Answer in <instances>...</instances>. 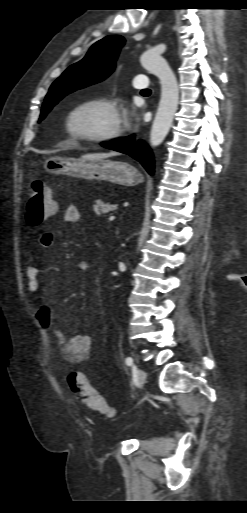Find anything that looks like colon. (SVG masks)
Masks as SVG:
<instances>
[{"instance_id": "1", "label": "colon", "mask_w": 247, "mask_h": 513, "mask_svg": "<svg viewBox=\"0 0 247 513\" xmlns=\"http://www.w3.org/2000/svg\"><path fill=\"white\" fill-rule=\"evenodd\" d=\"M58 206L51 189L42 180L32 182L26 201V220L32 227L39 226L44 220L56 214ZM70 389L90 409L106 416L113 417L114 410L105 398L89 383L82 372H72L68 376Z\"/></svg>"}]
</instances>
